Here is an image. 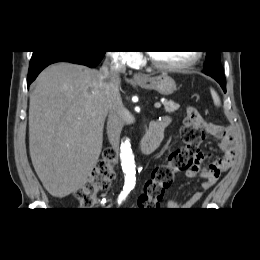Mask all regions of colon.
Masks as SVG:
<instances>
[{
	"mask_svg": "<svg viewBox=\"0 0 260 260\" xmlns=\"http://www.w3.org/2000/svg\"><path fill=\"white\" fill-rule=\"evenodd\" d=\"M197 112L193 107L188 108L181 131L184 145L170 155L167 163L156 166L145 183L142 195L148 198L152 205L156 206L162 200L165 191L173 184L176 174L192 167L196 155L200 152L199 146L205 133L196 124ZM114 159L115 152L106 149L90 177L75 194L81 206H91L95 202L96 194L109 188L114 178Z\"/></svg>",
	"mask_w": 260,
	"mask_h": 260,
	"instance_id": "colon-1",
	"label": "colon"
}]
</instances>
